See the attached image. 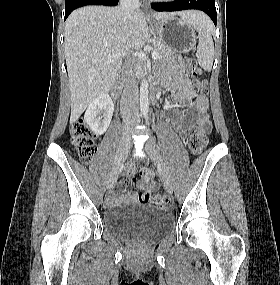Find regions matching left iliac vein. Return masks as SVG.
<instances>
[{
    "mask_svg": "<svg viewBox=\"0 0 280 285\" xmlns=\"http://www.w3.org/2000/svg\"><path fill=\"white\" fill-rule=\"evenodd\" d=\"M146 151L148 152L151 160L158 166L161 171V176L163 180L164 187L169 194L173 193V183L172 178L168 169L166 168L165 164L162 161L159 149L156 143L148 139L145 144Z\"/></svg>",
    "mask_w": 280,
    "mask_h": 285,
    "instance_id": "obj_1",
    "label": "left iliac vein"
}]
</instances>
